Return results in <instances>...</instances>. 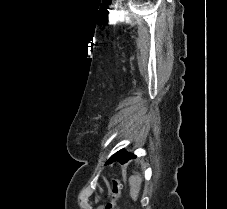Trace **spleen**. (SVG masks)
Here are the masks:
<instances>
[{"instance_id": "obj_1", "label": "spleen", "mask_w": 227, "mask_h": 209, "mask_svg": "<svg viewBox=\"0 0 227 209\" xmlns=\"http://www.w3.org/2000/svg\"><path fill=\"white\" fill-rule=\"evenodd\" d=\"M141 183H142V177L141 175H138V173H134V175L130 177L129 185H130V197L132 201H137L139 197V193L141 191Z\"/></svg>"}]
</instances>
